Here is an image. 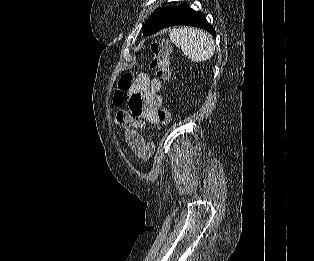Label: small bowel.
Returning a JSON list of instances; mask_svg holds the SVG:
<instances>
[{
  "label": "small bowel",
  "instance_id": "c3829d8e",
  "mask_svg": "<svg viewBox=\"0 0 314 261\" xmlns=\"http://www.w3.org/2000/svg\"><path fill=\"white\" fill-rule=\"evenodd\" d=\"M161 82L151 78L147 73H139L128 91L126 109H119L116 121L123 130L125 140L132 152L140 159L147 161L154 152V145L142 136L146 126L158 127L160 121L157 116L158 108L162 104ZM114 103H123L115 98Z\"/></svg>",
  "mask_w": 314,
  "mask_h": 261
}]
</instances>
